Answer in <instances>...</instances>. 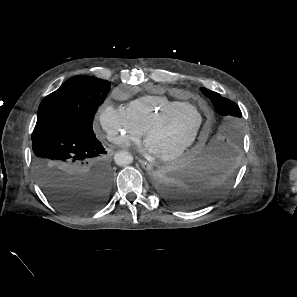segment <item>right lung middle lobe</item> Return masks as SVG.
I'll return each mask as SVG.
<instances>
[{
    "label": "right lung middle lobe",
    "mask_w": 297,
    "mask_h": 297,
    "mask_svg": "<svg viewBox=\"0 0 297 297\" xmlns=\"http://www.w3.org/2000/svg\"><path fill=\"white\" fill-rule=\"evenodd\" d=\"M109 90L106 80L82 75L70 78L41 102L32 136L64 128L94 135V114Z\"/></svg>",
    "instance_id": "obj_1"
}]
</instances>
